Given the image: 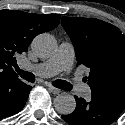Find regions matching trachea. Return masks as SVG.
Returning a JSON list of instances; mask_svg holds the SVG:
<instances>
[{
    "mask_svg": "<svg viewBox=\"0 0 125 125\" xmlns=\"http://www.w3.org/2000/svg\"><path fill=\"white\" fill-rule=\"evenodd\" d=\"M16 72L25 80L29 81V82H34L35 81V75L31 72L28 71H23L21 70L17 65L14 66ZM53 85L57 88L66 90V91H70L72 89V85L67 82V81H63V80H55L53 82Z\"/></svg>",
    "mask_w": 125,
    "mask_h": 125,
    "instance_id": "obj_1",
    "label": "trachea"
}]
</instances>
